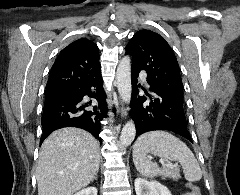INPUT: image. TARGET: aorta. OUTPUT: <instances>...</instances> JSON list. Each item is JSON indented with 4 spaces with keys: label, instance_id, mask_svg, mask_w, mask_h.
Returning a JSON list of instances; mask_svg holds the SVG:
<instances>
[{
    "label": "aorta",
    "instance_id": "762f6f07",
    "mask_svg": "<svg viewBox=\"0 0 240 195\" xmlns=\"http://www.w3.org/2000/svg\"><path fill=\"white\" fill-rule=\"evenodd\" d=\"M116 82L120 98L123 99V101H126V103H129L132 94L131 60L129 56H124V58L120 60V64L116 72ZM135 135H136L135 123L133 119H130V121H127L124 127H122L120 135L121 147H127V145H130Z\"/></svg>",
    "mask_w": 240,
    "mask_h": 195
}]
</instances>
